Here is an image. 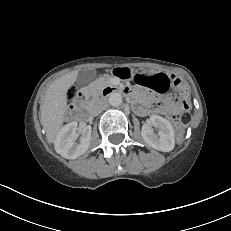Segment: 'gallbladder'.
<instances>
[{"label":"gallbladder","mask_w":231,"mask_h":231,"mask_svg":"<svg viewBox=\"0 0 231 231\" xmlns=\"http://www.w3.org/2000/svg\"><path fill=\"white\" fill-rule=\"evenodd\" d=\"M94 75V71L92 70H83L78 74V82L85 83L90 80Z\"/></svg>","instance_id":"obj_1"}]
</instances>
